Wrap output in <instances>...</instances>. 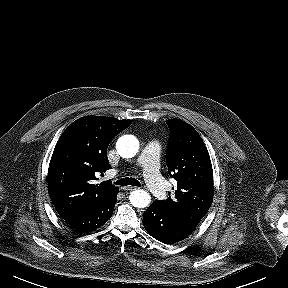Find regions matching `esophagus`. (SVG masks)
Returning a JSON list of instances; mask_svg holds the SVG:
<instances>
[{"instance_id": "esophagus-1", "label": "esophagus", "mask_w": 288, "mask_h": 288, "mask_svg": "<svg viewBox=\"0 0 288 288\" xmlns=\"http://www.w3.org/2000/svg\"><path fill=\"white\" fill-rule=\"evenodd\" d=\"M124 191H132V190H136L137 187L134 186H125L122 188Z\"/></svg>"}]
</instances>
